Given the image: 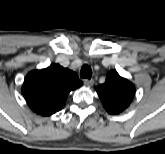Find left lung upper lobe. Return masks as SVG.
Returning a JSON list of instances; mask_svg holds the SVG:
<instances>
[{
    "instance_id": "1",
    "label": "left lung upper lobe",
    "mask_w": 165,
    "mask_h": 154,
    "mask_svg": "<svg viewBox=\"0 0 165 154\" xmlns=\"http://www.w3.org/2000/svg\"><path fill=\"white\" fill-rule=\"evenodd\" d=\"M97 93L106 111L110 114H118L130 105L135 87L116 70H111L107 74L105 83L97 87Z\"/></svg>"
}]
</instances>
